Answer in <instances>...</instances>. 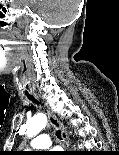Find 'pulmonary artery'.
<instances>
[{"instance_id":"e3ab8cb5","label":"pulmonary artery","mask_w":119,"mask_h":155,"mask_svg":"<svg viewBox=\"0 0 119 155\" xmlns=\"http://www.w3.org/2000/svg\"><path fill=\"white\" fill-rule=\"evenodd\" d=\"M31 146L35 149H47L51 146V139L48 134H40L31 141Z\"/></svg>"}]
</instances>
